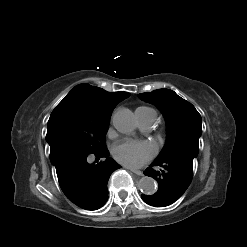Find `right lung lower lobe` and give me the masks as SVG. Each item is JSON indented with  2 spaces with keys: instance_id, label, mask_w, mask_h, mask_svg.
Here are the masks:
<instances>
[{
  "instance_id": "1",
  "label": "right lung lower lobe",
  "mask_w": 247,
  "mask_h": 247,
  "mask_svg": "<svg viewBox=\"0 0 247 247\" xmlns=\"http://www.w3.org/2000/svg\"><path fill=\"white\" fill-rule=\"evenodd\" d=\"M89 156L105 158L98 164H89ZM50 160L56 168L59 184L64 194L77 206L97 210L108 199L107 182L112 172L121 168L107 149L96 153L66 147H50Z\"/></svg>"
}]
</instances>
